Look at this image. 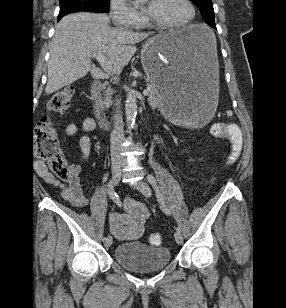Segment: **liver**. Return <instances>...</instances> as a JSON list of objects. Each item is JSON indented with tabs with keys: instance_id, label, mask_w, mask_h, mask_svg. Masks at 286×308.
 Masks as SVG:
<instances>
[{
	"instance_id": "6515ba94",
	"label": "liver",
	"mask_w": 286,
	"mask_h": 308,
	"mask_svg": "<svg viewBox=\"0 0 286 308\" xmlns=\"http://www.w3.org/2000/svg\"><path fill=\"white\" fill-rule=\"evenodd\" d=\"M109 24L107 15L88 12L69 14L59 21L50 47L46 94L74 83L88 72L96 79L105 77L101 69L91 67L95 52L108 57L112 72H121L136 53L135 44L150 35L112 28Z\"/></svg>"
}]
</instances>
